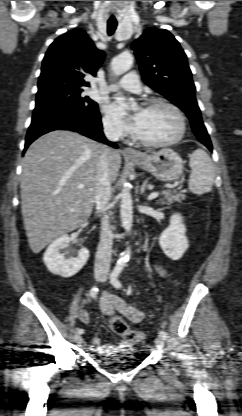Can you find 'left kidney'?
<instances>
[{
  "mask_svg": "<svg viewBox=\"0 0 242 416\" xmlns=\"http://www.w3.org/2000/svg\"><path fill=\"white\" fill-rule=\"evenodd\" d=\"M186 227L180 214H174L170 218L169 227L160 235L159 244L163 252L172 260L180 259L189 247V241L185 235Z\"/></svg>",
  "mask_w": 242,
  "mask_h": 416,
  "instance_id": "5707ae66",
  "label": "left kidney"
}]
</instances>
